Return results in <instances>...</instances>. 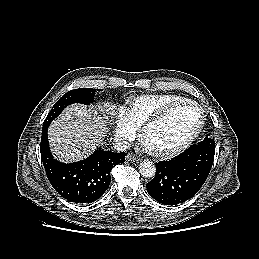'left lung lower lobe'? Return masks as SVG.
<instances>
[{
  "label": "left lung lower lobe",
  "mask_w": 259,
  "mask_h": 259,
  "mask_svg": "<svg viewBox=\"0 0 259 259\" xmlns=\"http://www.w3.org/2000/svg\"><path fill=\"white\" fill-rule=\"evenodd\" d=\"M214 155L215 150L192 145L178 156L156 163V175L146 186L149 195L164 205L190 199L205 183Z\"/></svg>",
  "instance_id": "1"
}]
</instances>
